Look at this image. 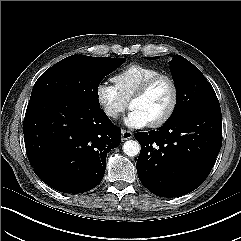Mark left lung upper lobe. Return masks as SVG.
<instances>
[{"mask_svg": "<svg viewBox=\"0 0 241 241\" xmlns=\"http://www.w3.org/2000/svg\"><path fill=\"white\" fill-rule=\"evenodd\" d=\"M154 58L156 57L149 59ZM169 64L176 85L177 99L174 112L168 121L191 111H221L213 87L196 66L178 54Z\"/></svg>", "mask_w": 241, "mask_h": 241, "instance_id": "1", "label": "left lung upper lobe"}]
</instances>
